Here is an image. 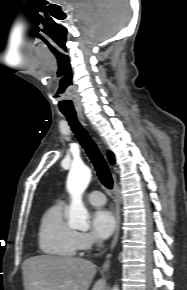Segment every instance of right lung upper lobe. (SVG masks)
Segmentation results:
<instances>
[{"label": "right lung upper lobe", "instance_id": "right-lung-upper-lobe-1", "mask_svg": "<svg viewBox=\"0 0 187 290\" xmlns=\"http://www.w3.org/2000/svg\"><path fill=\"white\" fill-rule=\"evenodd\" d=\"M108 158H109V161L111 162V164H114V155L112 152H108Z\"/></svg>", "mask_w": 187, "mask_h": 290}]
</instances>
